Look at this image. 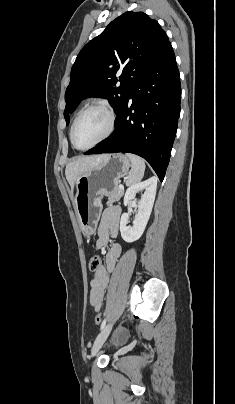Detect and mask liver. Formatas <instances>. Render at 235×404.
Segmentation results:
<instances>
[{"mask_svg":"<svg viewBox=\"0 0 235 404\" xmlns=\"http://www.w3.org/2000/svg\"><path fill=\"white\" fill-rule=\"evenodd\" d=\"M106 157V154L84 156L67 164L65 169L66 179L71 187L73 194L74 186L77 179L84 173L90 171L94 166L101 162Z\"/></svg>","mask_w":235,"mask_h":404,"instance_id":"1","label":"liver"}]
</instances>
